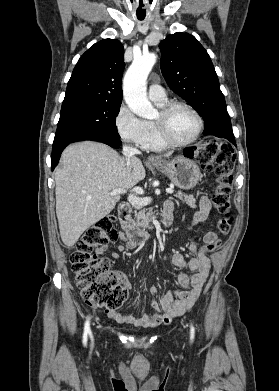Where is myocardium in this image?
<instances>
[{"mask_svg":"<svg viewBox=\"0 0 279 391\" xmlns=\"http://www.w3.org/2000/svg\"><path fill=\"white\" fill-rule=\"evenodd\" d=\"M177 107L188 109L197 119L198 127L195 134L186 141H176L170 135L169 118ZM155 126L162 142L168 147H185L194 143L201 135L204 128V121L201 114L189 103L184 101L167 102L159 111L158 117L154 120Z\"/></svg>","mask_w":279,"mask_h":391,"instance_id":"myocardium-1","label":"myocardium"}]
</instances>
